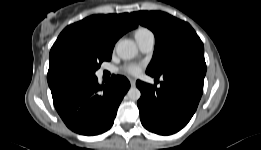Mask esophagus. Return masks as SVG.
Returning a JSON list of instances; mask_svg holds the SVG:
<instances>
[{"instance_id": "obj_1", "label": "esophagus", "mask_w": 261, "mask_h": 150, "mask_svg": "<svg viewBox=\"0 0 261 150\" xmlns=\"http://www.w3.org/2000/svg\"><path fill=\"white\" fill-rule=\"evenodd\" d=\"M129 80H130L131 86H132V87H135V85H136V80L133 79V78H130Z\"/></svg>"}]
</instances>
